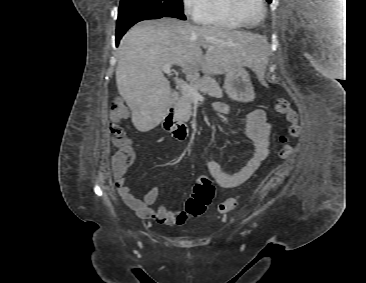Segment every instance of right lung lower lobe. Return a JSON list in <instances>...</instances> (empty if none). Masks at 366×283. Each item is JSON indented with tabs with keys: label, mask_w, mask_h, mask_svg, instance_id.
Listing matches in <instances>:
<instances>
[{
	"label": "right lung lower lobe",
	"mask_w": 366,
	"mask_h": 283,
	"mask_svg": "<svg viewBox=\"0 0 366 283\" xmlns=\"http://www.w3.org/2000/svg\"><path fill=\"white\" fill-rule=\"evenodd\" d=\"M163 16L158 15H140V16H134V17H127L122 18L120 20H117V29H116V45H118L119 40L122 38V36L125 34V32L135 23L147 20V19H159Z\"/></svg>",
	"instance_id": "right-lung-lower-lobe-1"
}]
</instances>
